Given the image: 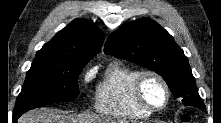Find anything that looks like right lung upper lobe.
<instances>
[{
  "instance_id": "1",
  "label": "right lung upper lobe",
  "mask_w": 221,
  "mask_h": 123,
  "mask_svg": "<svg viewBox=\"0 0 221 123\" xmlns=\"http://www.w3.org/2000/svg\"><path fill=\"white\" fill-rule=\"evenodd\" d=\"M103 40L104 34L94 23L75 19L46 43L35 59L86 63L99 52Z\"/></svg>"
}]
</instances>
